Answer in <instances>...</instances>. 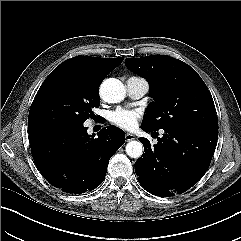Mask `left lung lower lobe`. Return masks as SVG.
I'll list each match as a JSON object with an SVG mask.
<instances>
[{"label": "left lung lower lobe", "instance_id": "obj_1", "mask_svg": "<svg viewBox=\"0 0 241 241\" xmlns=\"http://www.w3.org/2000/svg\"><path fill=\"white\" fill-rule=\"evenodd\" d=\"M163 130L165 134L154 147L148 139L139 138L144 152L135 162V172L148 192L170 197L185 192L205 174L214 154L218 131L186 126Z\"/></svg>", "mask_w": 241, "mask_h": 241}]
</instances>
